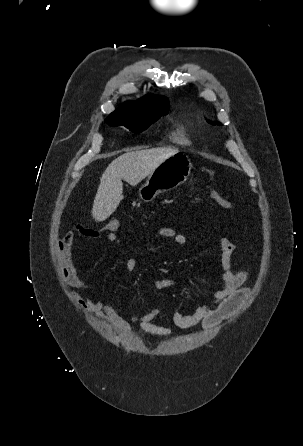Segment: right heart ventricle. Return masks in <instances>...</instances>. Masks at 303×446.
Here are the masks:
<instances>
[{
    "mask_svg": "<svg viewBox=\"0 0 303 446\" xmlns=\"http://www.w3.org/2000/svg\"><path fill=\"white\" fill-rule=\"evenodd\" d=\"M171 139L174 143L179 145H188L190 143L183 127H177L172 133Z\"/></svg>",
    "mask_w": 303,
    "mask_h": 446,
    "instance_id": "obj_1",
    "label": "right heart ventricle"
}]
</instances>
